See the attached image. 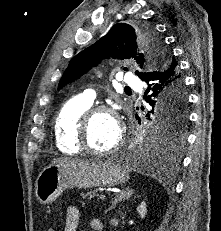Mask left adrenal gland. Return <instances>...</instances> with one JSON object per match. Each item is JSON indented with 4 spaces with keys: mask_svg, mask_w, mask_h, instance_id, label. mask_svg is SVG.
<instances>
[{
    "mask_svg": "<svg viewBox=\"0 0 221 231\" xmlns=\"http://www.w3.org/2000/svg\"><path fill=\"white\" fill-rule=\"evenodd\" d=\"M132 194H133V190L130 189L129 187L122 190L119 194H116L108 211L114 209L118 203L124 201L125 199H129L132 196Z\"/></svg>",
    "mask_w": 221,
    "mask_h": 231,
    "instance_id": "left-adrenal-gland-1",
    "label": "left adrenal gland"
}]
</instances>
